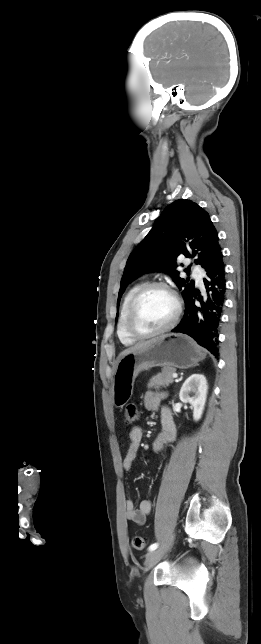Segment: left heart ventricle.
<instances>
[{
	"instance_id": "obj_1",
	"label": "left heart ventricle",
	"mask_w": 261,
	"mask_h": 644,
	"mask_svg": "<svg viewBox=\"0 0 261 644\" xmlns=\"http://www.w3.org/2000/svg\"><path fill=\"white\" fill-rule=\"evenodd\" d=\"M174 311L172 296L161 288H153L142 296L137 305L134 327L140 333L156 331L170 322Z\"/></svg>"
}]
</instances>
